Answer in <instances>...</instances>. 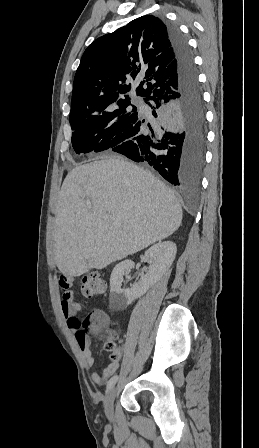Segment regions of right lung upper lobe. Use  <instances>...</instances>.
<instances>
[{"label": "right lung upper lobe", "instance_id": "obj_1", "mask_svg": "<svg viewBox=\"0 0 259 448\" xmlns=\"http://www.w3.org/2000/svg\"><path fill=\"white\" fill-rule=\"evenodd\" d=\"M175 56L167 27L153 15L134 19L87 47L76 71L71 113L131 105L135 85L145 101L177 86Z\"/></svg>", "mask_w": 259, "mask_h": 448}]
</instances>
